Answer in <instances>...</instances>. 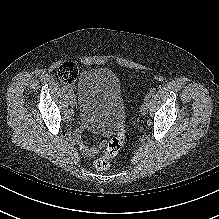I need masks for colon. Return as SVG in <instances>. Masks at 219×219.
Here are the masks:
<instances>
[{
  "label": "colon",
  "mask_w": 219,
  "mask_h": 219,
  "mask_svg": "<svg viewBox=\"0 0 219 219\" xmlns=\"http://www.w3.org/2000/svg\"><path fill=\"white\" fill-rule=\"evenodd\" d=\"M57 74L62 82L70 84L76 80L78 70L74 63L64 62L59 66ZM125 139V129L123 126H120L116 135L108 142L104 155L95 160L94 167L97 170H107L110 167V160L115 157L123 147Z\"/></svg>",
  "instance_id": "colon-1"
}]
</instances>
